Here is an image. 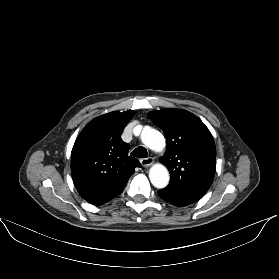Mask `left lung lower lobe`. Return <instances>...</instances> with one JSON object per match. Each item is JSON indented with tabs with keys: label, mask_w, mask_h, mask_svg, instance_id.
Here are the masks:
<instances>
[{
	"label": "left lung lower lobe",
	"mask_w": 279,
	"mask_h": 279,
	"mask_svg": "<svg viewBox=\"0 0 279 279\" xmlns=\"http://www.w3.org/2000/svg\"><path fill=\"white\" fill-rule=\"evenodd\" d=\"M158 195L165 201H167L168 203L178 206V207H183V206H187L189 204H192L194 202L187 200V199H183V198H178L175 196H171L168 194L163 193L161 190L158 191Z\"/></svg>",
	"instance_id": "obj_1"
}]
</instances>
